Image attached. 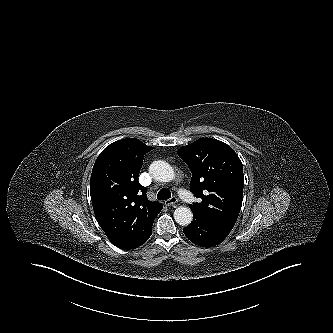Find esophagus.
Masks as SVG:
<instances>
[{"instance_id": "34e87169", "label": "esophagus", "mask_w": 333, "mask_h": 333, "mask_svg": "<svg viewBox=\"0 0 333 333\" xmlns=\"http://www.w3.org/2000/svg\"><path fill=\"white\" fill-rule=\"evenodd\" d=\"M177 201H178L177 197H176V196H173V197H171L170 199L166 200V201L164 202V204H165L166 206H172V205L176 204Z\"/></svg>"}]
</instances>
